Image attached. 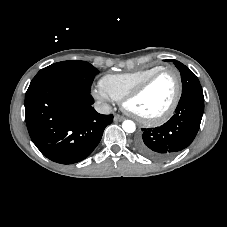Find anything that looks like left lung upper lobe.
<instances>
[{"label":"left lung upper lobe","mask_w":227,"mask_h":227,"mask_svg":"<svg viewBox=\"0 0 227 227\" xmlns=\"http://www.w3.org/2000/svg\"><path fill=\"white\" fill-rule=\"evenodd\" d=\"M166 61L167 62L172 61L181 73L182 95L191 92L203 93L198 78L191 72V70L188 67L174 59H167Z\"/></svg>","instance_id":"left-lung-upper-lobe-1"}]
</instances>
